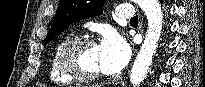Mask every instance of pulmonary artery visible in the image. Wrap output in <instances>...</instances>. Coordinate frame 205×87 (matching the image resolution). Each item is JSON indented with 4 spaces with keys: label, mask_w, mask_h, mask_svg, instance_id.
<instances>
[{
    "label": "pulmonary artery",
    "mask_w": 205,
    "mask_h": 87,
    "mask_svg": "<svg viewBox=\"0 0 205 87\" xmlns=\"http://www.w3.org/2000/svg\"><path fill=\"white\" fill-rule=\"evenodd\" d=\"M116 14L118 18L130 19L134 16V7L131 4L121 5Z\"/></svg>",
    "instance_id": "pulmonary-artery-1"
}]
</instances>
